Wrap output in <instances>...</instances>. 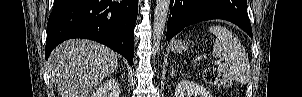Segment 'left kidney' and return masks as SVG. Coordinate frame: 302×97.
I'll use <instances>...</instances> for the list:
<instances>
[{
	"mask_svg": "<svg viewBox=\"0 0 302 97\" xmlns=\"http://www.w3.org/2000/svg\"><path fill=\"white\" fill-rule=\"evenodd\" d=\"M175 97H211V94L196 82L183 79L176 86Z\"/></svg>",
	"mask_w": 302,
	"mask_h": 97,
	"instance_id": "1",
	"label": "left kidney"
}]
</instances>
